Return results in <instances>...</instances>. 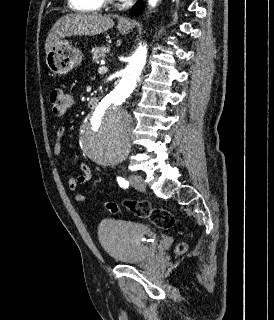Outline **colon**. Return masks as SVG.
Segmentation results:
<instances>
[{"label": "colon", "mask_w": 274, "mask_h": 320, "mask_svg": "<svg viewBox=\"0 0 274 320\" xmlns=\"http://www.w3.org/2000/svg\"><path fill=\"white\" fill-rule=\"evenodd\" d=\"M49 101L52 105V110L55 116H63L70 107L72 100L69 93L63 87H54L50 90ZM104 209L113 213L119 214L122 212L120 206L114 202H104ZM130 210L139 217L148 218L154 225L158 227H170L173 223L172 214L163 209L151 207L150 203L146 202H130L127 204ZM184 244L180 243L179 250H184Z\"/></svg>", "instance_id": "colon-1"}]
</instances>
